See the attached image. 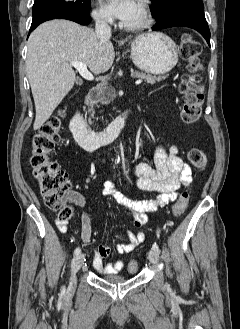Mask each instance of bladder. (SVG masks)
Instances as JSON below:
<instances>
[{"mask_svg":"<svg viewBox=\"0 0 240 329\" xmlns=\"http://www.w3.org/2000/svg\"><path fill=\"white\" fill-rule=\"evenodd\" d=\"M106 280L111 283H122L123 281H125V278L122 276H111L106 278Z\"/></svg>","mask_w":240,"mask_h":329,"instance_id":"obj_1","label":"bladder"}]
</instances>
